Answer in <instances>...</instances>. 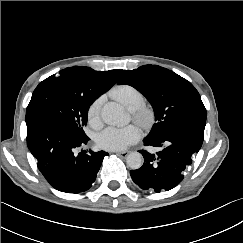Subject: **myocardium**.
<instances>
[{"mask_svg": "<svg viewBox=\"0 0 243 243\" xmlns=\"http://www.w3.org/2000/svg\"><path fill=\"white\" fill-rule=\"evenodd\" d=\"M131 112L133 119L144 129L150 128L155 120L154 108L146 102H143Z\"/></svg>", "mask_w": 243, "mask_h": 243, "instance_id": "obj_1", "label": "myocardium"}]
</instances>
